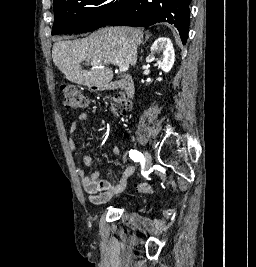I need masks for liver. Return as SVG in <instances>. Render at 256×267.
<instances>
[{
  "label": "liver",
  "instance_id": "6515ba94",
  "mask_svg": "<svg viewBox=\"0 0 256 267\" xmlns=\"http://www.w3.org/2000/svg\"><path fill=\"white\" fill-rule=\"evenodd\" d=\"M143 38L141 28H101L83 40L56 42L52 58L69 82L81 86H105L113 80L109 64H114L116 60L136 64L137 48ZM81 62H91L90 72L82 70Z\"/></svg>",
  "mask_w": 256,
  "mask_h": 267
}]
</instances>
